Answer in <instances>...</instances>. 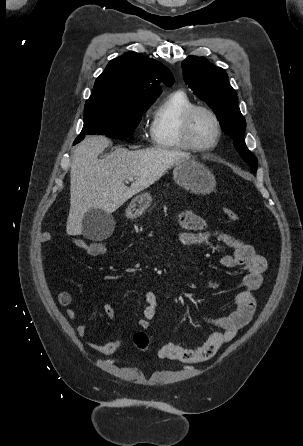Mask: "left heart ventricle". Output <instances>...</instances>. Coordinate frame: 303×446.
Returning <instances> with one entry per match:
<instances>
[{
	"instance_id": "1",
	"label": "left heart ventricle",
	"mask_w": 303,
	"mask_h": 446,
	"mask_svg": "<svg viewBox=\"0 0 303 446\" xmlns=\"http://www.w3.org/2000/svg\"><path fill=\"white\" fill-rule=\"evenodd\" d=\"M191 137L199 146L211 145L216 137V128L212 118L205 112H197L191 122Z\"/></svg>"
}]
</instances>
